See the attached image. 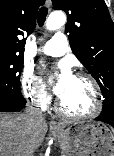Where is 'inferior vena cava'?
<instances>
[{
  "label": "inferior vena cava",
  "mask_w": 114,
  "mask_h": 156,
  "mask_svg": "<svg viewBox=\"0 0 114 156\" xmlns=\"http://www.w3.org/2000/svg\"><path fill=\"white\" fill-rule=\"evenodd\" d=\"M26 116L32 121L42 119V110L40 108V100L38 98L32 99V101L27 104Z\"/></svg>",
  "instance_id": "602c4592"
}]
</instances>
